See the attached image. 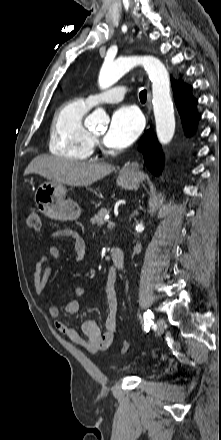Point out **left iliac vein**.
I'll list each match as a JSON object with an SVG mask.
<instances>
[{
  "label": "left iliac vein",
  "instance_id": "4c4485c4",
  "mask_svg": "<svg viewBox=\"0 0 221 440\" xmlns=\"http://www.w3.org/2000/svg\"><path fill=\"white\" fill-rule=\"evenodd\" d=\"M165 330V320L163 318H159L156 321V335L160 336Z\"/></svg>",
  "mask_w": 221,
  "mask_h": 440
}]
</instances>
